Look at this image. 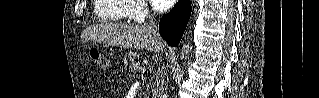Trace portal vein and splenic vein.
<instances>
[{"label": "portal vein and splenic vein", "mask_w": 319, "mask_h": 98, "mask_svg": "<svg viewBox=\"0 0 319 98\" xmlns=\"http://www.w3.org/2000/svg\"><path fill=\"white\" fill-rule=\"evenodd\" d=\"M140 69L139 64L133 63L131 65V71H138Z\"/></svg>", "instance_id": "portal-vein-and-splenic-vein-1"}]
</instances>
